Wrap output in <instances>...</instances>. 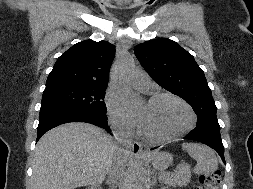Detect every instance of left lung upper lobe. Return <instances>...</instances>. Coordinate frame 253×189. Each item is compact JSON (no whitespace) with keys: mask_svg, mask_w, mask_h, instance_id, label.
<instances>
[{"mask_svg":"<svg viewBox=\"0 0 253 189\" xmlns=\"http://www.w3.org/2000/svg\"><path fill=\"white\" fill-rule=\"evenodd\" d=\"M135 55L161 87L184 98L198 116V125L219 126L216 105L204 72L176 42L155 39L135 46Z\"/></svg>","mask_w":253,"mask_h":189,"instance_id":"5c2ea615","label":"left lung upper lobe"}]
</instances>
